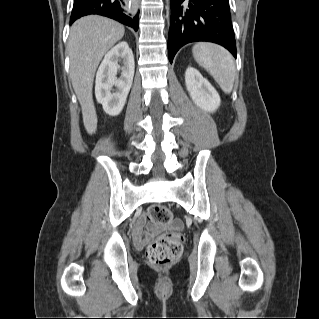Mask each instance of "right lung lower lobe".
Masks as SVG:
<instances>
[{"instance_id":"1","label":"right lung lower lobe","mask_w":319,"mask_h":319,"mask_svg":"<svg viewBox=\"0 0 319 319\" xmlns=\"http://www.w3.org/2000/svg\"><path fill=\"white\" fill-rule=\"evenodd\" d=\"M123 0H74L70 25L80 17L97 14L112 18L138 30V14L134 17L125 13Z\"/></svg>"}]
</instances>
